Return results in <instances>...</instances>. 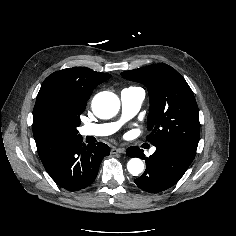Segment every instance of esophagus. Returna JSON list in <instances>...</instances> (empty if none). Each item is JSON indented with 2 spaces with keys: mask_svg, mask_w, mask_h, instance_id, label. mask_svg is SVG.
I'll use <instances>...</instances> for the list:
<instances>
[{
  "mask_svg": "<svg viewBox=\"0 0 236 236\" xmlns=\"http://www.w3.org/2000/svg\"><path fill=\"white\" fill-rule=\"evenodd\" d=\"M117 153H125V149L124 148H116V147H113L111 149V154H117Z\"/></svg>",
  "mask_w": 236,
  "mask_h": 236,
  "instance_id": "1",
  "label": "esophagus"
}]
</instances>
